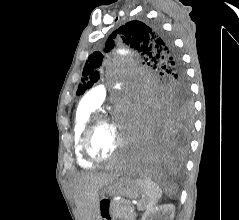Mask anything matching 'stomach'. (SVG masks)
<instances>
[{
    "instance_id": "obj_1",
    "label": "stomach",
    "mask_w": 239,
    "mask_h": 220,
    "mask_svg": "<svg viewBox=\"0 0 239 220\" xmlns=\"http://www.w3.org/2000/svg\"><path fill=\"white\" fill-rule=\"evenodd\" d=\"M103 198L99 200L98 217H104V220H114V217H106L109 201L104 197L125 196L128 198H137L142 194L141 187L132 178H114L102 189Z\"/></svg>"
}]
</instances>
